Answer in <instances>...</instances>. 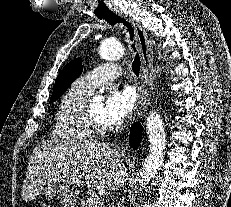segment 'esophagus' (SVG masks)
Returning a JSON list of instances; mask_svg holds the SVG:
<instances>
[{
	"label": "esophagus",
	"instance_id": "1",
	"mask_svg": "<svg viewBox=\"0 0 231 207\" xmlns=\"http://www.w3.org/2000/svg\"><path fill=\"white\" fill-rule=\"evenodd\" d=\"M117 15L126 19L134 28L136 38L139 44V51L142 59L141 66V86H140V94H139V103L136 107L135 117L134 119H138L142 116V111L144 109V105L146 102V94L149 87L152 85V69H153V52L152 45L149 40V37L146 31L142 28V26L136 22L130 15L126 14L121 10L115 11Z\"/></svg>",
	"mask_w": 231,
	"mask_h": 207
}]
</instances>
